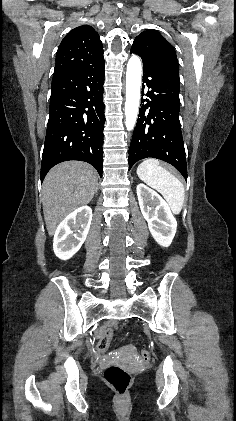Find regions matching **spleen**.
<instances>
[{
	"instance_id": "obj_1",
	"label": "spleen",
	"mask_w": 236,
	"mask_h": 421,
	"mask_svg": "<svg viewBox=\"0 0 236 421\" xmlns=\"http://www.w3.org/2000/svg\"><path fill=\"white\" fill-rule=\"evenodd\" d=\"M136 172L141 180L161 192L174 215L181 213L185 198L184 186L174 174L161 166L159 160L145 158L140 162Z\"/></svg>"
}]
</instances>
